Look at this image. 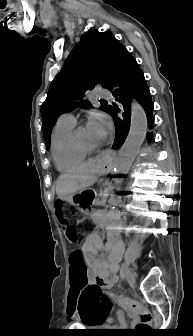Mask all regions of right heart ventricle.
Wrapping results in <instances>:
<instances>
[{
  "mask_svg": "<svg viewBox=\"0 0 193 336\" xmlns=\"http://www.w3.org/2000/svg\"><path fill=\"white\" fill-rule=\"evenodd\" d=\"M75 124L57 123L52 134V157L58 170L64 171L82 163L87 154L79 149L73 141Z\"/></svg>",
  "mask_w": 193,
  "mask_h": 336,
  "instance_id": "obj_1",
  "label": "right heart ventricle"
}]
</instances>
